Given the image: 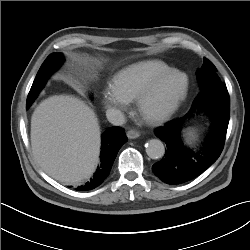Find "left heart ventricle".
Returning <instances> with one entry per match:
<instances>
[{
  "label": "left heart ventricle",
  "mask_w": 250,
  "mask_h": 250,
  "mask_svg": "<svg viewBox=\"0 0 250 250\" xmlns=\"http://www.w3.org/2000/svg\"><path fill=\"white\" fill-rule=\"evenodd\" d=\"M184 83L182 76L175 75L163 81L146 105L147 114L162 111L181 91Z\"/></svg>",
  "instance_id": "1"
}]
</instances>
